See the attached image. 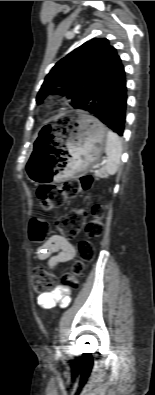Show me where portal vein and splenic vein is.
<instances>
[{
  "instance_id": "1",
  "label": "portal vein and splenic vein",
  "mask_w": 155,
  "mask_h": 395,
  "mask_svg": "<svg viewBox=\"0 0 155 395\" xmlns=\"http://www.w3.org/2000/svg\"><path fill=\"white\" fill-rule=\"evenodd\" d=\"M106 162H107V159H104V160L100 163V166H103L104 164H106Z\"/></svg>"
}]
</instances>
